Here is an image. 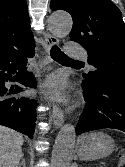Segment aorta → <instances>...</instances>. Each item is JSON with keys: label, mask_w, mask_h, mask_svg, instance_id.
Listing matches in <instances>:
<instances>
[{"label": "aorta", "mask_w": 125, "mask_h": 167, "mask_svg": "<svg viewBox=\"0 0 125 167\" xmlns=\"http://www.w3.org/2000/svg\"><path fill=\"white\" fill-rule=\"evenodd\" d=\"M72 24L71 16L65 12H54L48 19L49 30L56 37L68 35ZM75 139V127L71 124H65L59 131L53 146L51 167H69Z\"/></svg>", "instance_id": "obj_1"}]
</instances>
